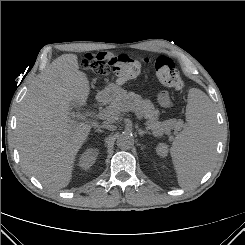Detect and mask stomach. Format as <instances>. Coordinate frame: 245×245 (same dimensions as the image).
<instances>
[{
    "label": "stomach",
    "instance_id": "stomach-1",
    "mask_svg": "<svg viewBox=\"0 0 245 245\" xmlns=\"http://www.w3.org/2000/svg\"><path fill=\"white\" fill-rule=\"evenodd\" d=\"M123 92V88L115 83L111 82L108 84V86L102 91V94L105 96L106 99L108 100H114L116 99L120 93Z\"/></svg>",
    "mask_w": 245,
    "mask_h": 245
}]
</instances>
